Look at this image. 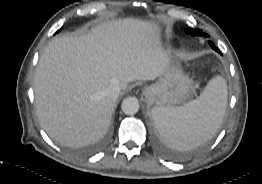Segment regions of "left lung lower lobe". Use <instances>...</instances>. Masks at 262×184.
I'll return each mask as SVG.
<instances>
[{
  "instance_id": "obj_1",
  "label": "left lung lower lobe",
  "mask_w": 262,
  "mask_h": 184,
  "mask_svg": "<svg viewBox=\"0 0 262 184\" xmlns=\"http://www.w3.org/2000/svg\"><path fill=\"white\" fill-rule=\"evenodd\" d=\"M209 45H210L213 49H215L217 52H219V53L221 54V52L219 51V49H217V48L215 47V45H214V43H213L212 41H209Z\"/></svg>"
}]
</instances>
